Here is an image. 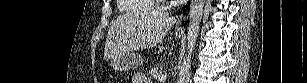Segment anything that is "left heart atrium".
Returning a JSON list of instances; mask_svg holds the SVG:
<instances>
[{
	"mask_svg": "<svg viewBox=\"0 0 307 83\" xmlns=\"http://www.w3.org/2000/svg\"><path fill=\"white\" fill-rule=\"evenodd\" d=\"M180 2H183L184 0H179Z\"/></svg>",
	"mask_w": 307,
	"mask_h": 83,
	"instance_id": "obj_1",
	"label": "left heart atrium"
}]
</instances>
